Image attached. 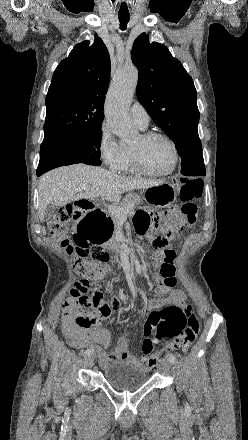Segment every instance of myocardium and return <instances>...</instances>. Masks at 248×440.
<instances>
[{"instance_id":"obj_1","label":"myocardium","mask_w":248,"mask_h":440,"mask_svg":"<svg viewBox=\"0 0 248 440\" xmlns=\"http://www.w3.org/2000/svg\"><path fill=\"white\" fill-rule=\"evenodd\" d=\"M154 138H162V139L166 140L171 145L172 150H173L174 160H173L172 166L164 172L151 171L146 167V165L144 163L143 146L147 142L151 141ZM179 158H180V154H179V150H178L176 142L169 135L162 133V132H158V131L143 132L140 135V144L137 146H132V159H133L134 167L138 173H141L146 176L166 177V176L172 174L176 170V167L179 162Z\"/></svg>"}]
</instances>
